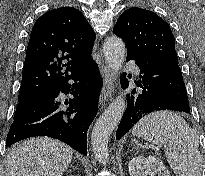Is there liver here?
Listing matches in <instances>:
<instances>
[{
  "label": "liver",
  "instance_id": "6515ba94",
  "mask_svg": "<svg viewBox=\"0 0 205 176\" xmlns=\"http://www.w3.org/2000/svg\"><path fill=\"white\" fill-rule=\"evenodd\" d=\"M72 156L73 150L58 140L29 138L9 150L6 176H63Z\"/></svg>",
  "mask_w": 205,
  "mask_h": 176
}]
</instances>
